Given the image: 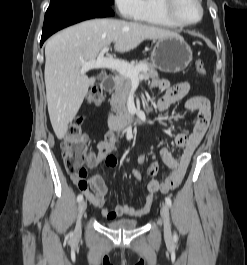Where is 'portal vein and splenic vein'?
<instances>
[{
	"instance_id": "portal-vein-and-splenic-vein-1",
	"label": "portal vein and splenic vein",
	"mask_w": 247,
	"mask_h": 265,
	"mask_svg": "<svg viewBox=\"0 0 247 265\" xmlns=\"http://www.w3.org/2000/svg\"><path fill=\"white\" fill-rule=\"evenodd\" d=\"M109 51L108 47L102 49L96 60L83 62L81 73H85L90 69L95 68H109L116 70L121 75L127 76L130 79L138 80L140 78V71H146L147 68L143 65L132 66L127 62L120 61L114 58H105L104 54Z\"/></svg>"
}]
</instances>
